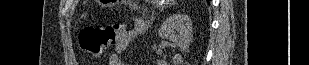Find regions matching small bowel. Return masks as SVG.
Returning <instances> with one entry per match:
<instances>
[{
  "label": "small bowel",
  "mask_w": 309,
  "mask_h": 65,
  "mask_svg": "<svg viewBox=\"0 0 309 65\" xmlns=\"http://www.w3.org/2000/svg\"><path fill=\"white\" fill-rule=\"evenodd\" d=\"M145 28V22L142 18H136L134 20L133 28L123 33L116 42L114 47L115 51L109 57V65H124L121 59V53L128 48V46L135 37L144 33Z\"/></svg>",
  "instance_id": "small-bowel-1"
}]
</instances>
